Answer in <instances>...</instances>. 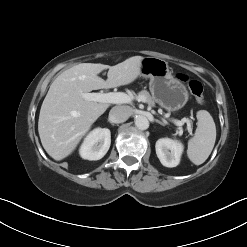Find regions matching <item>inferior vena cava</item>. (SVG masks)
<instances>
[{
    "mask_svg": "<svg viewBox=\"0 0 247 247\" xmlns=\"http://www.w3.org/2000/svg\"><path fill=\"white\" fill-rule=\"evenodd\" d=\"M132 115V108L129 106H115L110 110L109 116L115 123L125 122Z\"/></svg>",
    "mask_w": 247,
    "mask_h": 247,
    "instance_id": "602c4592",
    "label": "inferior vena cava"
}]
</instances>
